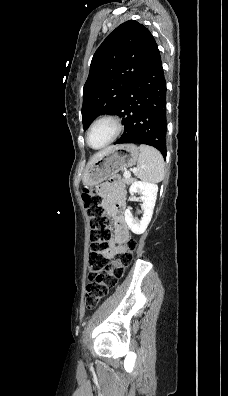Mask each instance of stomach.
Listing matches in <instances>:
<instances>
[{
	"label": "stomach",
	"mask_w": 228,
	"mask_h": 396,
	"mask_svg": "<svg viewBox=\"0 0 228 396\" xmlns=\"http://www.w3.org/2000/svg\"><path fill=\"white\" fill-rule=\"evenodd\" d=\"M139 150L135 144H120L89 165L83 175V183L95 186L110 175L136 164Z\"/></svg>",
	"instance_id": "stomach-1"
}]
</instances>
